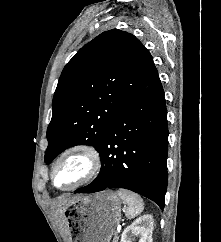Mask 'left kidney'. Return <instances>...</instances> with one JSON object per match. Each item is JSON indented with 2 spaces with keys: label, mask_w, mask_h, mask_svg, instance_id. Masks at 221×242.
Masks as SVG:
<instances>
[{
  "label": "left kidney",
  "mask_w": 221,
  "mask_h": 242,
  "mask_svg": "<svg viewBox=\"0 0 221 242\" xmlns=\"http://www.w3.org/2000/svg\"><path fill=\"white\" fill-rule=\"evenodd\" d=\"M153 224L151 215L139 217L124 229L120 242H132L136 237H139V242H152Z\"/></svg>",
  "instance_id": "left-kidney-1"
}]
</instances>
